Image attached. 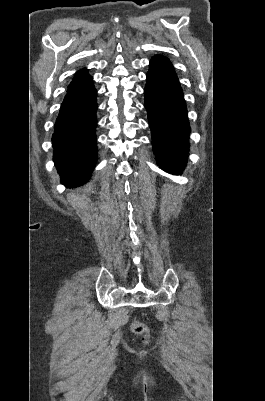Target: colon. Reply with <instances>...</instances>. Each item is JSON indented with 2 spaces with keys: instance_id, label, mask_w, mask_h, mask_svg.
I'll return each mask as SVG.
<instances>
[{
  "instance_id": "obj_1",
  "label": "colon",
  "mask_w": 265,
  "mask_h": 401,
  "mask_svg": "<svg viewBox=\"0 0 265 401\" xmlns=\"http://www.w3.org/2000/svg\"><path fill=\"white\" fill-rule=\"evenodd\" d=\"M131 329L135 334L142 335L144 338L148 336V328L145 324L134 320L131 324Z\"/></svg>"
}]
</instances>
